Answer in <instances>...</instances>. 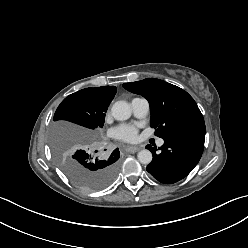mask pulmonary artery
Masks as SVG:
<instances>
[{"label":"pulmonary artery","instance_id":"e3ab8cb5","mask_svg":"<svg viewBox=\"0 0 248 248\" xmlns=\"http://www.w3.org/2000/svg\"><path fill=\"white\" fill-rule=\"evenodd\" d=\"M131 107L133 114L138 118H144L149 112V103L144 98H134L131 101ZM163 143H164L163 139L158 140L159 146L163 145Z\"/></svg>","mask_w":248,"mask_h":248}]
</instances>
